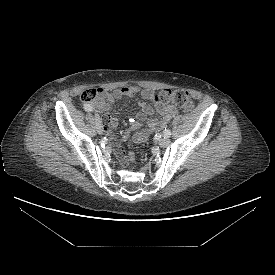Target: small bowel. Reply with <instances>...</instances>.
<instances>
[{"instance_id": "c3829d8e", "label": "small bowel", "mask_w": 275, "mask_h": 275, "mask_svg": "<svg viewBox=\"0 0 275 275\" xmlns=\"http://www.w3.org/2000/svg\"><path fill=\"white\" fill-rule=\"evenodd\" d=\"M153 92L151 89H140L137 86H124L113 91L99 89L103 102L93 106L96 110L104 113V119L110 127L116 128L119 124L118 118L108 115V112L114 108L115 101L139 94L142 100L139 101L140 111L137 113V119L139 122H146L147 126L140 131L134 141L141 143L146 141L153 132L166 127L177 112L176 107L171 104L157 102L154 107L148 104L146 100L151 99ZM115 153L119 159L125 158V148L122 143L115 145Z\"/></svg>"}]
</instances>
